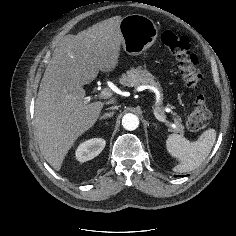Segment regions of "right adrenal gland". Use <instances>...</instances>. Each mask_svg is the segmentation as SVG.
Segmentation results:
<instances>
[{
    "mask_svg": "<svg viewBox=\"0 0 236 236\" xmlns=\"http://www.w3.org/2000/svg\"><path fill=\"white\" fill-rule=\"evenodd\" d=\"M113 115H114V112L105 113L103 116L100 117V120L110 118V117H112Z\"/></svg>",
    "mask_w": 236,
    "mask_h": 236,
    "instance_id": "2a0ac1e0",
    "label": "right adrenal gland"
}]
</instances>
